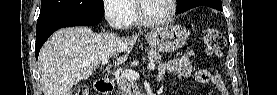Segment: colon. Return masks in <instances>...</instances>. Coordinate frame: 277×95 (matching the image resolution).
I'll return each instance as SVG.
<instances>
[{
    "label": "colon",
    "instance_id": "colon-1",
    "mask_svg": "<svg viewBox=\"0 0 277 95\" xmlns=\"http://www.w3.org/2000/svg\"><path fill=\"white\" fill-rule=\"evenodd\" d=\"M203 45L206 51L213 55H218L225 44L222 34L210 27L203 28L201 31ZM71 95H88V89L85 86H76L72 89Z\"/></svg>",
    "mask_w": 277,
    "mask_h": 95
}]
</instances>
